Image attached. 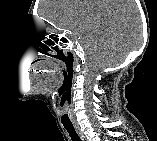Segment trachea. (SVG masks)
<instances>
[{
	"instance_id": "obj_1",
	"label": "trachea",
	"mask_w": 157,
	"mask_h": 141,
	"mask_svg": "<svg viewBox=\"0 0 157 141\" xmlns=\"http://www.w3.org/2000/svg\"><path fill=\"white\" fill-rule=\"evenodd\" d=\"M64 128L69 133V136L72 141H81L79 135L77 134V132L73 126H64Z\"/></svg>"
}]
</instances>
